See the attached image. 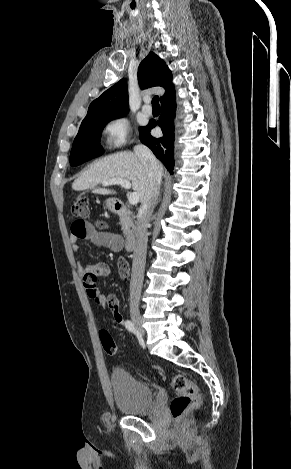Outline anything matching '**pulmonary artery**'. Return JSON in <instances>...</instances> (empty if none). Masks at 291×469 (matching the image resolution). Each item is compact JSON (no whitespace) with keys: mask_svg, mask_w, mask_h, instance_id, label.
<instances>
[{"mask_svg":"<svg viewBox=\"0 0 291 469\" xmlns=\"http://www.w3.org/2000/svg\"><path fill=\"white\" fill-rule=\"evenodd\" d=\"M142 111L145 115H151L152 114V107L149 105V99H145V104L142 107Z\"/></svg>","mask_w":291,"mask_h":469,"instance_id":"pulmonary-artery-1","label":"pulmonary artery"}]
</instances>
